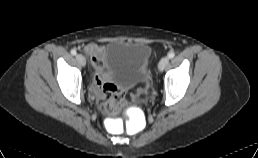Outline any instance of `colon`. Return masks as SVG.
<instances>
[{
	"label": "colon",
	"instance_id": "1",
	"mask_svg": "<svg viewBox=\"0 0 258 158\" xmlns=\"http://www.w3.org/2000/svg\"><path fill=\"white\" fill-rule=\"evenodd\" d=\"M124 106V102L119 94H115L112 96L111 99H109L107 102L104 103L103 109L105 112H113L116 108V106Z\"/></svg>",
	"mask_w": 258,
	"mask_h": 158
}]
</instances>
